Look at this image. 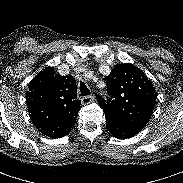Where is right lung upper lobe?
<instances>
[{
  "label": "right lung upper lobe",
  "mask_w": 183,
  "mask_h": 183,
  "mask_svg": "<svg viewBox=\"0 0 183 183\" xmlns=\"http://www.w3.org/2000/svg\"><path fill=\"white\" fill-rule=\"evenodd\" d=\"M26 102L33 124L51 138L70 132L81 105L75 79L55 74L53 67L45 68L29 83Z\"/></svg>",
  "instance_id": "obj_1"
}]
</instances>
